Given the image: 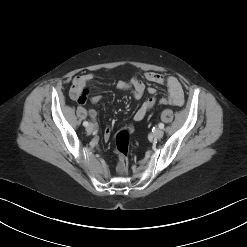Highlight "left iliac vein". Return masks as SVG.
I'll use <instances>...</instances> for the list:
<instances>
[{"instance_id":"left-iliac-vein-1","label":"left iliac vein","mask_w":247,"mask_h":247,"mask_svg":"<svg viewBox=\"0 0 247 247\" xmlns=\"http://www.w3.org/2000/svg\"><path fill=\"white\" fill-rule=\"evenodd\" d=\"M154 137L161 138L164 135V131L161 128H158L153 133Z\"/></svg>"}]
</instances>
